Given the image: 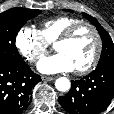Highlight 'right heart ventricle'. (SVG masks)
Listing matches in <instances>:
<instances>
[{
	"mask_svg": "<svg viewBox=\"0 0 114 114\" xmlns=\"http://www.w3.org/2000/svg\"><path fill=\"white\" fill-rule=\"evenodd\" d=\"M81 21L72 16L62 15L41 23L39 32L48 44L56 42L58 37L71 25Z\"/></svg>",
	"mask_w": 114,
	"mask_h": 114,
	"instance_id": "obj_1",
	"label": "right heart ventricle"
}]
</instances>
